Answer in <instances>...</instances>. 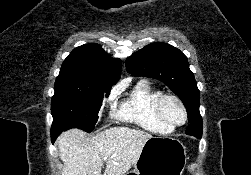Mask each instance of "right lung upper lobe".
Returning <instances> with one entry per match:
<instances>
[{"instance_id": "right-lung-upper-lobe-1", "label": "right lung upper lobe", "mask_w": 251, "mask_h": 175, "mask_svg": "<svg viewBox=\"0 0 251 175\" xmlns=\"http://www.w3.org/2000/svg\"><path fill=\"white\" fill-rule=\"evenodd\" d=\"M122 63L98 44L75 48L64 60L56 81L95 87H112L120 78Z\"/></svg>"}]
</instances>
